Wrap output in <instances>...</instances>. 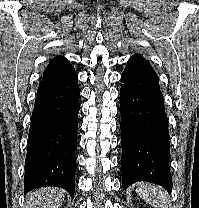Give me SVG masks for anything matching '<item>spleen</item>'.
Here are the masks:
<instances>
[{"instance_id":"obj_1","label":"spleen","mask_w":199,"mask_h":208,"mask_svg":"<svg viewBox=\"0 0 199 208\" xmlns=\"http://www.w3.org/2000/svg\"><path fill=\"white\" fill-rule=\"evenodd\" d=\"M136 192L149 204L166 208V194L162 189L156 185L140 184L136 187Z\"/></svg>"}]
</instances>
